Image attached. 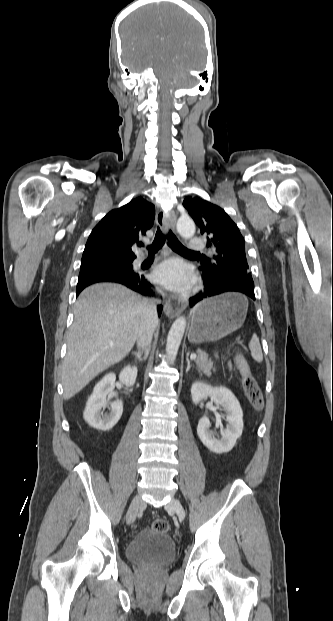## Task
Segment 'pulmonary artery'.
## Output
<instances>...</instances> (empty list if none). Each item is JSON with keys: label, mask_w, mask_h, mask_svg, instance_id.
<instances>
[{"label": "pulmonary artery", "mask_w": 333, "mask_h": 621, "mask_svg": "<svg viewBox=\"0 0 333 621\" xmlns=\"http://www.w3.org/2000/svg\"><path fill=\"white\" fill-rule=\"evenodd\" d=\"M205 248V242L203 239L198 238V237H193L190 239V244H189V249L191 251H201ZM144 256L140 255L137 260L136 263H140L144 260Z\"/></svg>", "instance_id": "1"}]
</instances>
